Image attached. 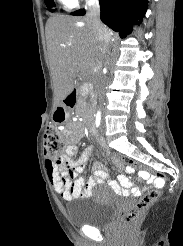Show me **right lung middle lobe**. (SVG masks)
Here are the masks:
<instances>
[{
	"instance_id": "1",
	"label": "right lung middle lobe",
	"mask_w": 183,
	"mask_h": 246,
	"mask_svg": "<svg viewBox=\"0 0 183 246\" xmlns=\"http://www.w3.org/2000/svg\"><path fill=\"white\" fill-rule=\"evenodd\" d=\"M45 1V4L48 8H53L55 7V3L53 0H44ZM51 12H53L54 10L53 9H50Z\"/></svg>"
}]
</instances>
